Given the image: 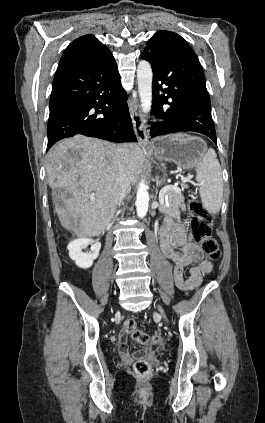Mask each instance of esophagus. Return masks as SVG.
I'll return each mask as SVG.
<instances>
[{
	"label": "esophagus",
	"mask_w": 265,
	"mask_h": 423,
	"mask_svg": "<svg viewBox=\"0 0 265 423\" xmlns=\"http://www.w3.org/2000/svg\"><path fill=\"white\" fill-rule=\"evenodd\" d=\"M129 109H130L131 119L133 123V129L139 142L145 145L148 144L149 139H148L146 130L144 128V121H143V117H142L138 102L134 100H130Z\"/></svg>",
	"instance_id": "34e87169"
}]
</instances>
